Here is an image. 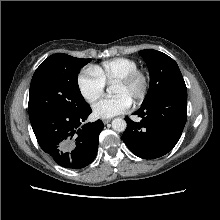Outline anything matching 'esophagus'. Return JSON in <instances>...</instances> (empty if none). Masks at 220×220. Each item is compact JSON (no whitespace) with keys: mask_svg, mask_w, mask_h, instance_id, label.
Instances as JSON below:
<instances>
[{"mask_svg":"<svg viewBox=\"0 0 220 220\" xmlns=\"http://www.w3.org/2000/svg\"><path fill=\"white\" fill-rule=\"evenodd\" d=\"M102 121H103L104 124H107L111 121V119H103Z\"/></svg>","mask_w":220,"mask_h":220,"instance_id":"esophagus-1","label":"esophagus"}]
</instances>
